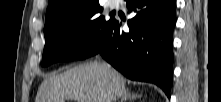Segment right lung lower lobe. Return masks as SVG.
Here are the masks:
<instances>
[{
	"label": "right lung lower lobe",
	"mask_w": 221,
	"mask_h": 102,
	"mask_svg": "<svg viewBox=\"0 0 221 102\" xmlns=\"http://www.w3.org/2000/svg\"><path fill=\"white\" fill-rule=\"evenodd\" d=\"M130 32L115 18L95 44L77 59L100 54L132 80L152 82L168 97L173 75L175 0H126Z\"/></svg>",
	"instance_id": "right-lung-lower-lobe-1"
}]
</instances>
